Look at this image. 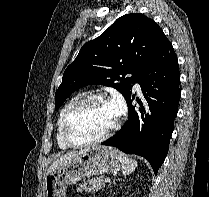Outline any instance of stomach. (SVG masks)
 Returning a JSON list of instances; mask_svg holds the SVG:
<instances>
[{"instance_id":"stomach-1","label":"stomach","mask_w":209,"mask_h":197,"mask_svg":"<svg viewBox=\"0 0 209 197\" xmlns=\"http://www.w3.org/2000/svg\"><path fill=\"white\" fill-rule=\"evenodd\" d=\"M120 152L112 147L93 146L67 163L57 167L44 180V197H65L66 187L82 178L102 175L120 169Z\"/></svg>"}]
</instances>
